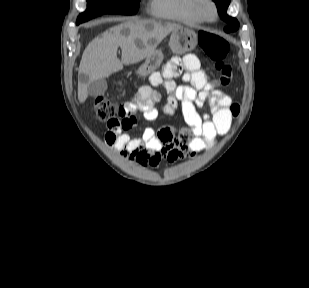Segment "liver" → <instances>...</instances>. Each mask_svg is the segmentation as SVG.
Instances as JSON below:
<instances>
[{
	"label": "liver",
	"instance_id": "1",
	"mask_svg": "<svg viewBox=\"0 0 309 288\" xmlns=\"http://www.w3.org/2000/svg\"><path fill=\"white\" fill-rule=\"evenodd\" d=\"M180 25L156 20L129 19L103 32L93 39L83 52L79 66L78 99L88 97V85L123 69V65L135 64L150 56L157 45ZM140 42L138 46L137 42ZM121 48V60L117 58Z\"/></svg>",
	"mask_w": 309,
	"mask_h": 288
}]
</instances>
